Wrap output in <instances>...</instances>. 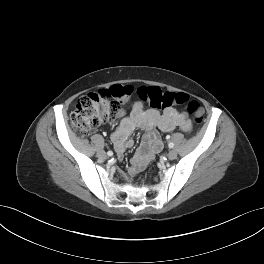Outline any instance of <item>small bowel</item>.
I'll return each mask as SVG.
<instances>
[{
    "mask_svg": "<svg viewBox=\"0 0 264 264\" xmlns=\"http://www.w3.org/2000/svg\"><path fill=\"white\" fill-rule=\"evenodd\" d=\"M119 116V126L112 134V141L119 156L133 145V140L129 136L134 130L142 128L147 131L131 159L130 175L141 171L162 149L163 143L157 130L169 132L180 128L187 133L192 130V123L185 113L172 107L160 113L153 109L145 110L140 102H136L130 114L126 115L123 110H120Z\"/></svg>",
    "mask_w": 264,
    "mask_h": 264,
    "instance_id": "c3829d8e",
    "label": "small bowel"
}]
</instances>
